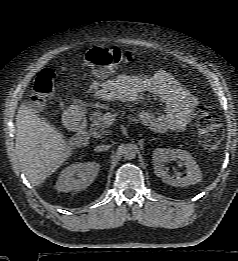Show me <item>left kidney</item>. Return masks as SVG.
<instances>
[{
    "instance_id": "obj_1",
    "label": "left kidney",
    "mask_w": 238,
    "mask_h": 261,
    "mask_svg": "<svg viewBox=\"0 0 238 261\" xmlns=\"http://www.w3.org/2000/svg\"><path fill=\"white\" fill-rule=\"evenodd\" d=\"M152 158L156 176L160 177L162 181L168 185L184 187L197 184L202 179L199 166L192 155L185 150L157 148L153 151ZM175 159H179L185 165L187 169L186 176L182 178L177 176L174 178L165 170L164 163Z\"/></svg>"
}]
</instances>
